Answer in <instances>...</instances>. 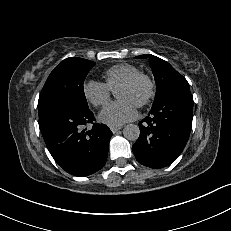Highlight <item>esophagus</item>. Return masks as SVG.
Listing matches in <instances>:
<instances>
[{
	"label": "esophagus",
	"instance_id": "1",
	"mask_svg": "<svg viewBox=\"0 0 231 231\" xmlns=\"http://www.w3.org/2000/svg\"><path fill=\"white\" fill-rule=\"evenodd\" d=\"M121 128H122V127L119 126V127H111L110 129H111V131H112L113 133H117Z\"/></svg>",
	"mask_w": 231,
	"mask_h": 231
}]
</instances>
